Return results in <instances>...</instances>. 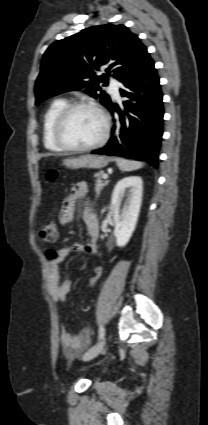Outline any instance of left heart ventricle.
I'll return each instance as SVG.
<instances>
[{"label": "left heart ventricle", "mask_w": 208, "mask_h": 425, "mask_svg": "<svg viewBox=\"0 0 208 425\" xmlns=\"http://www.w3.org/2000/svg\"><path fill=\"white\" fill-rule=\"evenodd\" d=\"M103 131V122L98 113L80 108L69 117L63 131L64 139L74 146H86L99 139Z\"/></svg>", "instance_id": "obj_1"}]
</instances>
